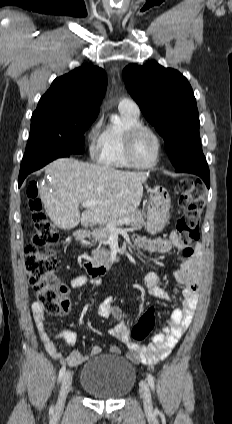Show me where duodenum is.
I'll return each mask as SVG.
<instances>
[{
  "label": "duodenum",
  "instance_id": "1",
  "mask_svg": "<svg viewBox=\"0 0 232 424\" xmlns=\"http://www.w3.org/2000/svg\"><path fill=\"white\" fill-rule=\"evenodd\" d=\"M89 237V234L84 230H78L75 233V240L77 242H82ZM117 261V259H107V260H86L84 263V268L88 274L92 276H101L106 274L113 264Z\"/></svg>",
  "mask_w": 232,
  "mask_h": 424
}]
</instances>
